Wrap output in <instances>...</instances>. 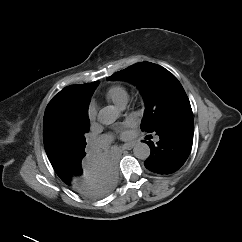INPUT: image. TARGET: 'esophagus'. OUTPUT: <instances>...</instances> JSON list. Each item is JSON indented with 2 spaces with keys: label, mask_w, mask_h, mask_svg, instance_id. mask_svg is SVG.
Segmentation results:
<instances>
[{
  "label": "esophagus",
  "mask_w": 242,
  "mask_h": 242,
  "mask_svg": "<svg viewBox=\"0 0 242 242\" xmlns=\"http://www.w3.org/2000/svg\"><path fill=\"white\" fill-rule=\"evenodd\" d=\"M134 147V143H126L122 146L123 150H131Z\"/></svg>",
  "instance_id": "esophagus-1"
}]
</instances>
